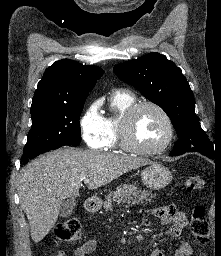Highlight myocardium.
<instances>
[{
	"mask_svg": "<svg viewBox=\"0 0 221 256\" xmlns=\"http://www.w3.org/2000/svg\"><path fill=\"white\" fill-rule=\"evenodd\" d=\"M146 107H151L155 109L164 119L166 123V136L165 139L162 141L161 144L154 148H146L142 147L134 139L133 136V127L134 122L137 114ZM174 137V124L172 121L171 116L169 113L158 103L154 101H140L136 102L132 106H130L127 111L125 112L120 129H119V139H120V145L123 149L126 151L138 154V155H144V156H154L157 154H160L164 152L168 146L171 144Z\"/></svg>",
	"mask_w": 221,
	"mask_h": 256,
	"instance_id": "f54148a6",
	"label": "myocardium"
}]
</instances>
